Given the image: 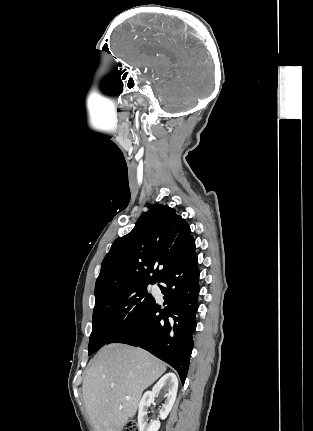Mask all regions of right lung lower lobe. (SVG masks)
<instances>
[{
    "mask_svg": "<svg viewBox=\"0 0 313 431\" xmlns=\"http://www.w3.org/2000/svg\"><path fill=\"white\" fill-rule=\"evenodd\" d=\"M194 239L181 259L160 280L165 307L153 298L121 332L107 344L140 346L165 361L184 383L196 328L199 270Z\"/></svg>",
    "mask_w": 313,
    "mask_h": 431,
    "instance_id": "1",
    "label": "right lung lower lobe"
}]
</instances>
